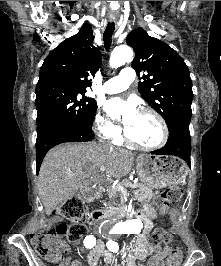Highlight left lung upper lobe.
<instances>
[{
    "label": "left lung upper lobe",
    "instance_id": "obj_1",
    "mask_svg": "<svg viewBox=\"0 0 221 266\" xmlns=\"http://www.w3.org/2000/svg\"><path fill=\"white\" fill-rule=\"evenodd\" d=\"M126 42L135 51L132 67L139 76L142 98L166 121L168 128L190 124L192 80L184 60L168 44L151 37L142 28L133 30Z\"/></svg>",
    "mask_w": 221,
    "mask_h": 266
}]
</instances>
